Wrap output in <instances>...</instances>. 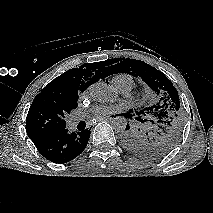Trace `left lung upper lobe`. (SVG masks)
Listing matches in <instances>:
<instances>
[{
    "label": "left lung upper lobe",
    "instance_id": "left-lung-upper-lobe-1",
    "mask_svg": "<svg viewBox=\"0 0 213 213\" xmlns=\"http://www.w3.org/2000/svg\"><path fill=\"white\" fill-rule=\"evenodd\" d=\"M100 68L107 76L128 73L140 77L157 95V101L141 109L130 110L129 116H136L137 129L127 124L122 140L133 154L156 159L169 153L178 143L184 123V112L180 107L178 91L164 73L136 59H108Z\"/></svg>",
    "mask_w": 213,
    "mask_h": 213
}]
</instances>
